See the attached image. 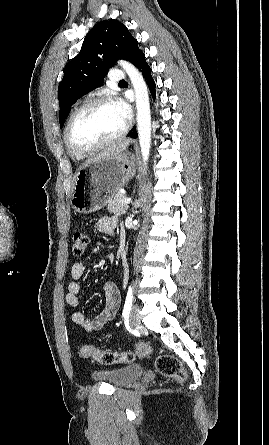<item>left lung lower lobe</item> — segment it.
Returning a JSON list of instances; mask_svg holds the SVG:
<instances>
[{
	"label": "left lung lower lobe",
	"mask_w": 269,
	"mask_h": 445,
	"mask_svg": "<svg viewBox=\"0 0 269 445\" xmlns=\"http://www.w3.org/2000/svg\"><path fill=\"white\" fill-rule=\"evenodd\" d=\"M134 65L141 70V72L143 74V77L147 81V84L149 86L151 95H152L153 99H155V97H156V95H155V87H156V85H155L154 80H153L152 75H151V68L149 67V65L147 64V62L145 60L144 53H142L140 55L139 59L135 62ZM130 137L131 138H136L137 137L136 130H134L130 134Z\"/></svg>",
	"instance_id": "obj_1"
}]
</instances>
